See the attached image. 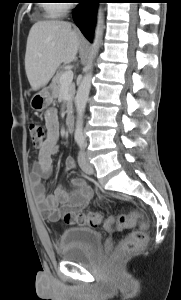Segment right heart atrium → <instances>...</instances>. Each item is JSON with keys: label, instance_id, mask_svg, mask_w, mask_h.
<instances>
[{"label": "right heart atrium", "instance_id": "1", "mask_svg": "<svg viewBox=\"0 0 181 300\" xmlns=\"http://www.w3.org/2000/svg\"><path fill=\"white\" fill-rule=\"evenodd\" d=\"M61 1H67V0H61ZM62 4H64V3H62ZM65 5V4H64ZM66 6V5H65Z\"/></svg>", "mask_w": 181, "mask_h": 300}]
</instances>
